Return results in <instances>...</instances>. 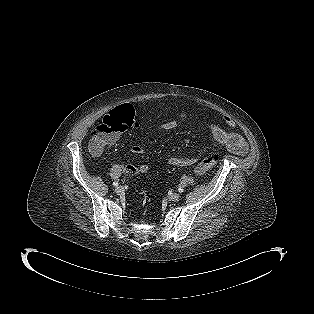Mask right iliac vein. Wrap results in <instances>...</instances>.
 <instances>
[{
  "label": "right iliac vein",
  "instance_id": "63e3f726",
  "mask_svg": "<svg viewBox=\"0 0 314 314\" xmlns=\"http://www.w3.org/2000/svg\"><path fill=\"white\" fill-rule=\"evenodd\" d=\"M123 191H124V188H123L122 186H117V187L115 188V192H116L117 194H121V193H123Z\"/></svg>",
  "mask_w": 314,
  "mask_h": 314
}]
</instances>
